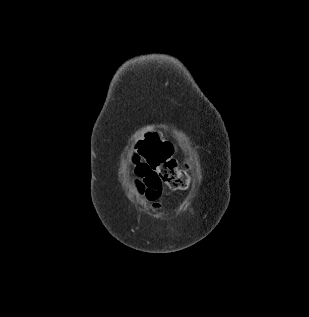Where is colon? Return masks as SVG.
<instances>
[{"label": "colon", "instance_id": "5ec220e1", "mask_svg": "<svg viewBox=\"0 0 309 317\" xmlns=\"http://www.w3.org/2000/svg\"><path fill=\"white\" fill-rule=\"evenodd\" d=\"M142 155L152 171V184H166L174 190H184L189 185V175L172 157V146L156 133L149 134L141 146Z\"/></svg>", "mask_w": 309, "mask_h": 317}]
</instances>
